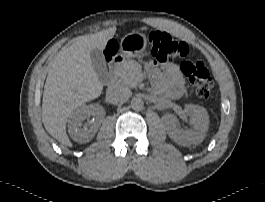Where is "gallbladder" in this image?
Returning <instances> with one entry per match:
<instances>
[{
	"label": "gallbladder",
	"mask_w": 265,
	"mask_h": 202,
	"mask_svg": "<svg viewBox=\"0 0 265 202\" xmlns=\"http://www.w3.org/2000/svg\"><path fill=\"white\" fill-rule=\"evenodd\" d=\"M90 59L97 76L100 78H105L107 75V65L103 52L97 48L92 49L90 51Z\"/></svg>",
	"instance_id": "1"
}]
</instances>
